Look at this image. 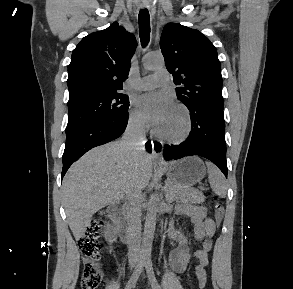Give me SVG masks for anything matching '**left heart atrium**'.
<instances>
[{"mask_svg": "<svg viewBox=\"0 0 293 289\" xmlns=\"http://www.w3.org/2000/svg\"><path fill=\"white\" fill-rule=\"evenodd\" d=\"M138 104L148 121L156 127L166 120L174 108L171 98L158 92L141 96Z\"/></svg>", "mask_w": 293, "mask_h": 289, "instance_id": "1", "label": "left heart atrium"}]
</instances>
